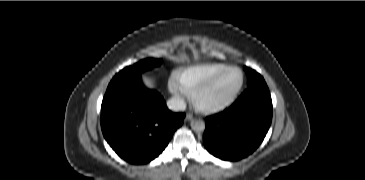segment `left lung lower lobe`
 <instances>
[{
  "mask_svg": "<svg viewBox=\"0 0 365 180\" xmlns=\"http://www.w3.org/2000/svg\"><path fill=\"white\" fill-rule=\"evenodd\" d=\"M271 120L272 100L265 81L251 85L231 107L206 118L205 147L223 160L242 159L261 144Z\"/></svg>",
  "mask_w": 365,
  "mask_h": 180,
  "instance_id": "1",
  "label": "left lung lower lobe"
}]
</instances>
